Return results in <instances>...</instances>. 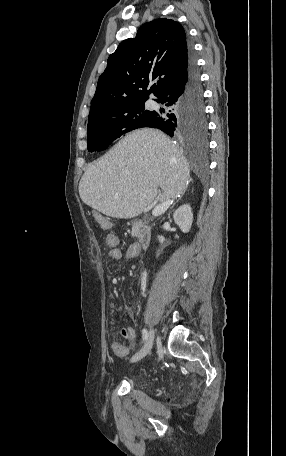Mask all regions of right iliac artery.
I'll return each instance as SVG.
<instances>
[{
    "mask_svg": "<svg viewBox=\"0 0 286 456\" xmlns=\"http://www.w3.org/2000/svg\"><path fill=\"white\" fill-rule=\"evenodd\" d=\"M143 341H146L148 338V331L144 328L142 330Z\"/></svg>",
    "mask_w": 286,
    "mask_h": 456,
    "instance_id": "1",
    "label": "right iliac artery"
}]
</instances>
